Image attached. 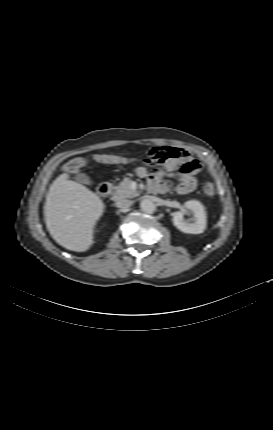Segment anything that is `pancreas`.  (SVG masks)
Here are the masks:
<instances>
[{"label": "pancreas", "instance_id": "1", "mask_svg": "<svg viewBox=\"0 0 273 430\" xmlns=\"http://www.w3.org/2000/svg\"><path fill=\"white\" fill-rule=\"evenodd\" d=\"M131 178L125 177L123 181L118 185L113 187L114 200H120L124 198H134L139 193L137 190L131 187Z\"/></svg>", "mask_w": 273, "mask_h": 430}]
</instances>
